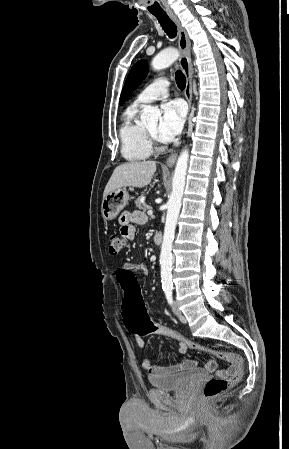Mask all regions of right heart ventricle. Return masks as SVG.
<instances>
[{"instance_id": "obj_1", "label": "right heart ventricle", "mask_w": 289, "mask_h": 449, "mask_svg": "<svg viewBox=\"0 0 289 449\" xmlns=\"http://www.w3.org/2000/svg\"><path fill=\"white\" fill-rule=\"evenodd\" d=\"M138 113V105L129 106L123 114L119 130L121 153L129 161L144 160L152 154L145 127L138 121Z\"/></svg>"}]
</instances>
